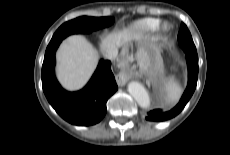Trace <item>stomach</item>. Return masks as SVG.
<instances>
[{
    "mask_svg": "<svg viewBox=\"0 0 230 155\" xmlns=\"http://www.w3.org/2000/svg\"><path fill=\"white\" fill-rule=\"evenodd\" d=\"M159 51V48L150 41L144 42L138 50L139 55L152 56Z\"/></svg>",
    "mask_w": 230,
    "mask_h": 155,
    "instance_id": "0dacf381",
    "label": "stomach"
}]
</instances>
